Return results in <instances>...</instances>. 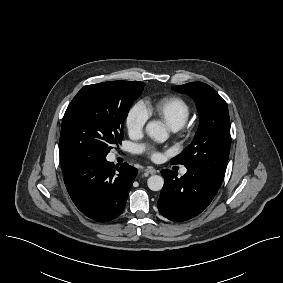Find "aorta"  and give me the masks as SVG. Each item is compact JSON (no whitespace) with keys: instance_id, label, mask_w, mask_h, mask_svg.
I'll list each match as a JSON object with an SVG mask.
<instances>
[{"instance_id":"762f6f07","label":"aorta","mask_w":283,"mask_h":283,"mask_svg":"<svg viewBox=\"0 0 283 283\" xmlns=\"http://www.w3.org/2000/svg\"><path fill=\"white\" fill-rule=\"evenodd\" d=\"M146 133L154 141L162 143L168 138L167 131L161 126L159 122L152 121L146 125ZM147 184L150 190L160 191L164 184V179L159 175H152L148 178Z\"/></svg>"}]
</instances>
